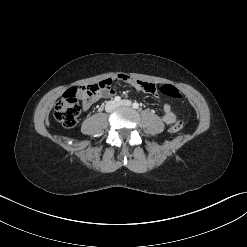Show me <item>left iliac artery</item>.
I'll return each instance as SVG.
<instances>
[{
    "label": "left iliac artery",
    "instance_id": "left-iliac-artery-1",
    "mask_svg": "<svg viewBox=\"0 0 247 247\" xmlns=\"http://www.w3.org/2000/svg\"><path fill=\"white\" fill-rule=\"evenodd\" d=\"M133 108H135V109L139 108V104L137 102H134L133 103Z\"/></svg>",
    "mask_w": 247,
    "mask_h": 247
}]
</instances>
